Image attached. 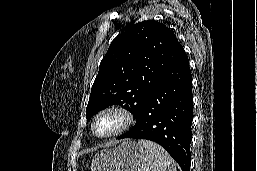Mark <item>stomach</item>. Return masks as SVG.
I'll return each mask as SVG.
<instances>
[{
    "label": "stomach",
    "instance_id": "1",
    "mask_svg": "<svg viewBox=\"0 0 257 171\" xmlns=\"http://www.w3.org/2000/svg\"><path fill=\"white\" fill-rule=\"evenodd\" d=\"M144 150L134 141L123 142L116 148L98 152L91 171H141Z\"/></svg>",
    "mask_w": 257,
    "mask_h": 171
}]
</instances>
